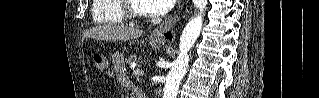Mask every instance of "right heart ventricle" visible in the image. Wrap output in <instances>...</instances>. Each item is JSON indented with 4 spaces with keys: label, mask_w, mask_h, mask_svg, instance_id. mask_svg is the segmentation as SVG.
<instances>
[{
    "label": "right heart ventricle",
    "mask_w": 319,
    "mask_h": 98,
    "mask_svg": "<svg viewBox=\"0 0 319 98\" xmlns=\"http://www.w3.org/2000/svg\"><path fill=\"white\" fill-rule=\"evenodd\" d=\"M92 19L96 24H120L126 20L121 7V0H94Z\"/></svg>",
    "instance_id": "obj_1"
}]
</instances>
